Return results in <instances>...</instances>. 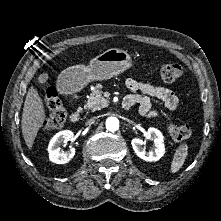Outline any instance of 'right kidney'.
I'll use <instances>...</instances> for the list:
<instances>
[{
  "label": "right kidney",
  "instance_id": "1",
  "mask_svg": "<svg viewBox=\"0 0 221 221\" xmlns=\"http://www.w3.org/2000/svg\"><path fill=\"white\" fill-rule=\"evenodd\" d=\"M75 140L74 134L70 130H63L53 136L48 145L49 159L56 164H66L75 155V149L70 148L69 151H61L60 145L66 141Z\"/></svg>",
  "mask_w": 221,
  "mask_h": 221
}]
</instances>
